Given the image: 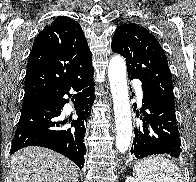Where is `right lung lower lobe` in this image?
<instances>
[{"label": "right lung lower lobe", "mask_w": 196, "mask_h": 182, "mask_svg": "<svg viewBox=\"0 0 196 182\" xmlns=\"http://www.w3.org/2000/svg\"><path fill=\"white\" fill-rule=\"evenodd\" d=\"M93 72L90 63L30 108L22 110L10 154L32 145L46 147L68 157L82 169L86 121L95 99ZM71 90L77 92L71 100L78 118L63 120L62 108L68 103L64 95L71 97Z\"/></svg>", "instance_id": "1"}]
</instances>
